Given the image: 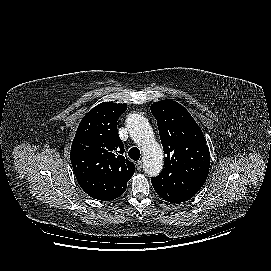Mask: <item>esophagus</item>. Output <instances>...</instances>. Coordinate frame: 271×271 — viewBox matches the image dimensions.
Returning <instances> with one entry per match:
<instances>
[{
	"label": "esophagus",
	"instance_id": "obj_1",
	"mask_svg": "<svg viewBox=\"0 0 271 271\" xmlns=\"http://www.w3.org/2000/svg\"><path fill=\"white\" fill-rule=\"evenodd\" d=\"M136 166H137V170L140 171L142 169V161L141 160L137 161Z\"/></svg>",
	"mask_w": 271,
	"mask_h": 271
}]
</instances>
